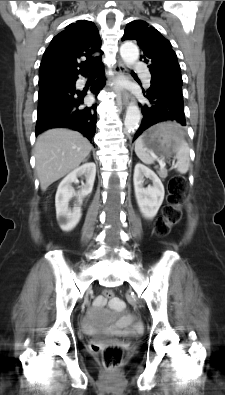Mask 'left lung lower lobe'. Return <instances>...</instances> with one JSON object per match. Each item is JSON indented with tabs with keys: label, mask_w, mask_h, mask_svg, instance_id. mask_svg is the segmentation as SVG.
<instances>
[{
	"label": "left lung lower lobe",
	"mask_w": 225,
	"mask_h": 395,
	"mask_svg": "<svg viewBox=\"0 0 225 395\" xmlns=\"http://www.w3.org/2000/svg\"><path fill=\"white\" fill-rule=\"evenodd\" d=\"M143 95L149 100L141 105L143 119L134 140L150 126L167 120L177 121L185 126L182 85L172 82H151L150 88ZM181 127V126H180Z\"/></svg>",
	"instance_id": "obj_1"
}]
</instances>
